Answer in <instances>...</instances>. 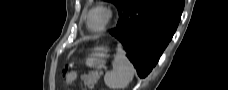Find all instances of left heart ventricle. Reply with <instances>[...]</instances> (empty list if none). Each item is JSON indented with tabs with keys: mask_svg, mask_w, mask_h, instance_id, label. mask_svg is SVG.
Returning a JSON list of instances; mask_svg holds the SVG:
<instances>
[{
	"mask_svg": "<svg viewBox=\"0 0 228 90\" xmlns=\"http://www.w3.org/2000/svg\"><path fill=\"white\" fill-rule=\"evenodd\" d=\"M104 19H105V15L102 11H94L92 14H91V17H90V20H89V24H90V27L92 29H98L102 26L103 22H104Z\"/></svg>",
	"mask_w": 228,
	"mask_h": 90,
	"instance_id": "b2bd125f",
	"label": "left heart ventricle"
}]
</instances>
